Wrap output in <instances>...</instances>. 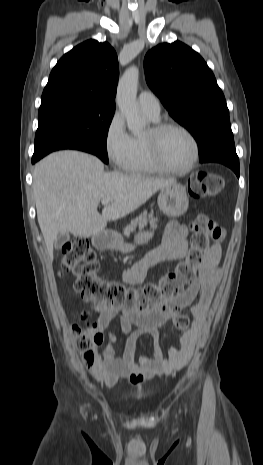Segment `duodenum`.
Masks as SVG:
<instances>
[{
    "instance_id": "duodenum-1",
    "label": "duodenum",
    "mask_w": 263,
    "mask_h": 465,
    "mask_svg": "<svg viewBox=\"0 0 263 465\" xmlns=\"http://www.w3.org/2000/svg\"><path fill=\"white\" fill-rule=\"evenodd\" d=\"M94 246L99 249H105L109 244V239L104 235H98L94 238Z\"/></svg>"
}]
</instances>
